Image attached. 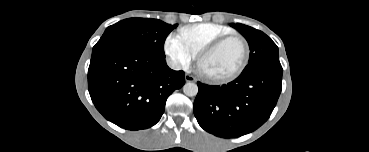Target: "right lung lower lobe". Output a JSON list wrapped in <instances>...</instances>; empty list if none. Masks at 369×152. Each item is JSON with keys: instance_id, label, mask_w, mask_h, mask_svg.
<instances>
[{"instance_id": "1", "label": "right lung lower lobe", "mask_w": 369, "mask_h": 152, "mask_svg": "<svg viewBox=\"0 0 369 152\" xmlns=\"http://www.w3.org/2000/svg\"><path fill=\"white\" fill-rule=\"evenodd\" d=\"M185 83L165 59L131 47L92 55L88 90L97 110L127 130L150 128L161 118L169 95Z\"/></svg>"}]
</instances>
